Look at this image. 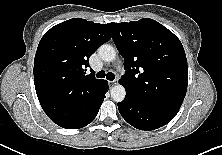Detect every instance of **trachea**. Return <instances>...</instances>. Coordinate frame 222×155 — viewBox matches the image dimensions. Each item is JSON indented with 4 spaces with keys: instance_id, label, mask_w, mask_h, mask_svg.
<instances>
[{
    "instance_id": "3493384b",
    "label": "trachea",
    "mask_w": 222,
    "mask_h": 155,
    "mask_svg": "<svg viewBox=\"0 0 222 155\" xmlns=\"http://www.w3.org/2000/svg\"><path fill=\"white\" fill-rule=\"evenodd\" d=\"M97 78H105L110 80V81H113L115 79V75L113 73H105V71H99L97 73Z\"/></svg>"
}]
</instances>
